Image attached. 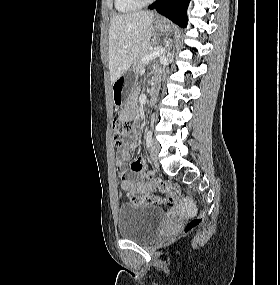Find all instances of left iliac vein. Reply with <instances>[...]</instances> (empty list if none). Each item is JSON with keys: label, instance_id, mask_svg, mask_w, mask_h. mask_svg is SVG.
<instances>
[{"label": "left iliac vein", "instance_id": "4c4485c4", "mask_svg": "<svg viewBox=\"0 0 280 285\" xmlns=\"http://www.w3.org/2000/svg\"><path fill=\"white\" fill-rule=\"evenodd\" d=\"M160 150L159 143L157 141H153L150 147V156L152 161L157 164L158 162V153Z\"/></svg>", "mask_w": 280, "mask_h": 285}]
</instances>
